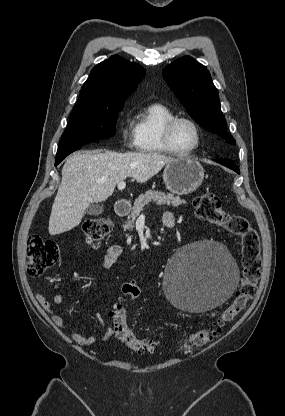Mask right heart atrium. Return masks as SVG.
Instances as JSON below:
<instances>
[{
  "label": "right heart atrium",
  "mask_w": 285,
  "mask_h": 416,
  "mask_svg": "<svg viewBox=\"0 0 285 416\" xmlns=\"http://www.w3.org/2000/svg\"><path fill=\"white\" fill-rule=\"evenodd\" d=\"M122 139L124 145L128 149L137 148V133L135 129V122L131 114L125 116L124 127L122 129Z\"/></svg>",
  "instance_id": "1"
}]
</instances>
